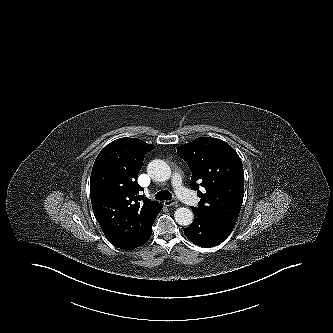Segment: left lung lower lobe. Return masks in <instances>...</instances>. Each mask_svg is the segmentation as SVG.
<instances>
[{
    "label": "left lung lower lobe",
    "instance_id": "1",
    "mask_svg": "<svg viewBox=\"0 0 333 333\" xmlns=\"http://www.w3.org/2000/svg\"><path fill=\"white\" fill-rule=\"evenodd\" d=\"M192 210L194 221L188 228L184 229V233L192 243L200 247H213L221 244L234 228L208 214Z\"/></svg>",
    "mask_w": 333,
    "mask_h": 333
}]
</instances>
